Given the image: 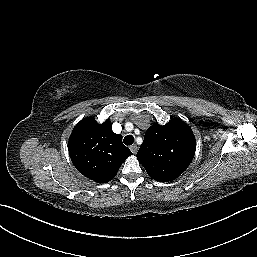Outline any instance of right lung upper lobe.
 I'll return each instance as SVG.
<instances>
[{"instance_id":"cb5924a9","label":"right lung upper lobe","mask_w":257,"mask_h":257,"mask_svg":"<svg viewBox=\"0 0 257 257\" xmlns=\"http://www.w3.org/2000/svg\"><path fill=\"white\" fill-rule=\"evenodd\" d=\"M75 168L97 183L112 180L132 152L123 145L122 136L112 131L110 122L99 124L92 117L81 120L68 143Z\"/></svg>"}]
</instances>
